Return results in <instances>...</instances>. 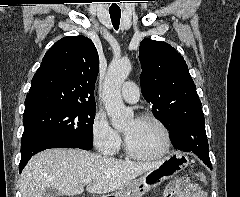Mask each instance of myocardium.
I'll return each mask as SVG.
<instances>
[{
    "instance_id": "1",
    "label": "myocardium",
    "mask_w": 240,
    "mask_h": 197,
    "mask_svg": "<svg viewBox=\"0 0 240 197\" xmlns=\"http://www.w3.org/2000/svg\"><path fill=\"white\" fill-rule=\"evenodd\" d=\"M137 120L151 121V122H154L155 124H157L160 127V129L162 130L163 135H164V146L159 152H157L155 154H151V155L139 154L130 147V145L127 142L126 137H124V150H125L126 155H128L129 157H131L133 159L143 160V161L158 160V159L164 157L170 151L171 144H172L171 133H170V130L167 127V125L160 118H158L157 116L152 115V114H142L137 118Z\"/></svg>"
}]
</instances>
